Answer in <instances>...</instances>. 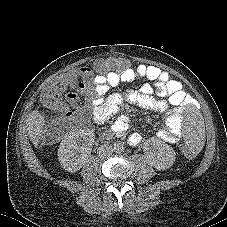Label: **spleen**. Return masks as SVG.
I'll list each match as a JSON object with an SVG mask.
<instances>
[{
    "label": "spleen",
    "instance_id": "3e777b00",
    "mask_svg": "<svg viewBox=\"0 0 227 227\" xmlns=\"http://www.w3.org/2000/svg\"><path fill=\"white\" fill-rule=\"evenodd\" d=\"M185 145L192 152H199L206 145V129L203 110L196 103H189L182 110Z\"/></svg>",
    "mask_w": 227,
    "mask_h": 227
}]
</instances>
